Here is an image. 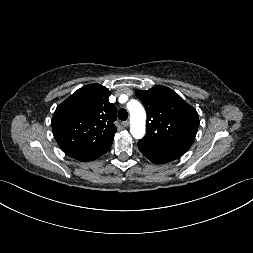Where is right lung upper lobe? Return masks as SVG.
<instances>
[{"instance_id":"right-lung-upper-lobe-1","label":"right lung upper lobe","mask_w":253,"mask_h":253,"mask_svg":"<svg viewBox=\"0 0 253 253\" xmlns=\"http://www.w3.org/2000/svg\"><path fill=\"white\" fill-rule=\"evenodd\" d=\"M110 94L106 87L90 84L57 106L52 130L66 155L75 158L113 141L117 109L108 100Z\"/></svg>"}]
</instances>
